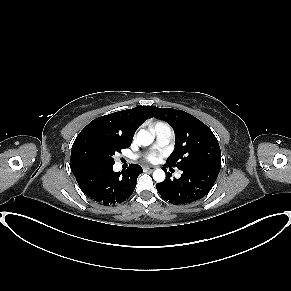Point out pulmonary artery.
Listing matches in <instances>:
<instances>
[{"label": "pulmonary artery", "instance_id": "pulmonary-artery-1", "mask_svg": "<svg viewBox=\"0 0 291 291\" xmlns=\"http://www.w3.org/2000/svg\"><path fill=\"white\" fill-rule=\"evenodd\" d=\"M155 133H156V144L155 148H163L166 147L172 139L173 132L172 129L169 125L164 124V125H159L155 128ZM177 177L180 176V173L178 172Z\"/></svg>", "mask_w": 291, "mask_h": 291}]
</instances>
